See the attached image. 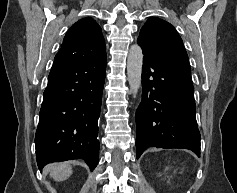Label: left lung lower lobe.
I'll return each instance as SVG.
<instances>
[{"label": "left lung lower lobe", "mask_w": 237, "mask_h": 193, "mask_svg": "<svg viewBox=\"0 0 237 193\" xmlns=\"http://www.w3.org/2000/svg\"><path fill=\"white\" fill-rule=\"evenodd\" d=\"M143 55L142 101L136 111L137 158L151 146L189 149L200 156L191 73Z\"/></svg>", "instance_id": "1"}]
</instances>
